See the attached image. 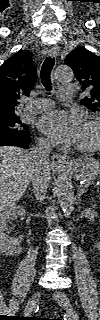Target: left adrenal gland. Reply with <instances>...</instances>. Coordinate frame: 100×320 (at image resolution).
Returning <instances> with one entry per match:
<instances>
[{
	"mask_svg": "<svg viewBox=\"0 0 100 320\" xmlns=\"http://www.w3.org/2000/svg\"><path fill=\"white\" fill-rule=\"evenodd\" d=\"M88 191V189H86V188H84L83 186H79L78 187V190H77V197H78V199L79 200H81V196L84 194V193H86Z\"/></svg>",
	"mask_w": 100,
	"mask_h": 320,
	"instance_id": "left-adrenal-gland-1",
	"label": "left adrenal gland"
}]
</instances>
